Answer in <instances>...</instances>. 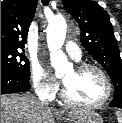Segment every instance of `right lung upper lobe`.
<instances>
[{"instance_id": "cb5924a9", "label": "right lung upper lobe", "mask_w": 122, "mask_h": 123, "mask_svg": "<svg viewBox=\"0 0 122 123\" xmlns=\"http://www.w3.org/2000/svg\"><path fill=\"white\" fill-rule=\"evenodd\" d=\"M38 0L1 2V50L24 48Z\"/></svg>"}]
</instances>
